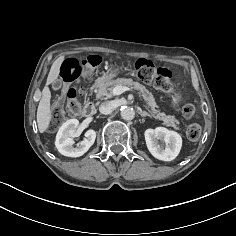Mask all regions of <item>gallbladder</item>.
<instances>
[{
  "mask_svg": "<svg viewBox=\"0 0 236 236\" xmlns=\"http://www.w3.org/2000/svg\"><path fill=\"white\" fill-rule=\"evenodd\" d=\"M61 85H62L61 81L56 80V81L53 82L52 88H53L54 90H58V89L61 87Z\"/></svg>",
  "mask_w": 236,
  "mask_h": 236,
  "instance_id": "bac80fb5",
  "label": "gallbladder"
}]
</instances>
